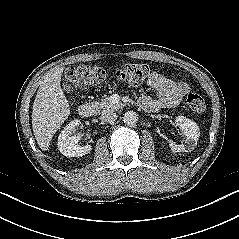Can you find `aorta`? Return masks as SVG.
<instances>
[{
  "label": "aorta",
  "mask_w": 239,
  "mask_h": 239,
  "mask_svg": "<svg viewBox=\"0 0 239 239\" xmlns=\"http://www.w3.org/2000/svg\"><path fill=\"white\" fill-rule=\"evenodd\" d=\"M123 121L128 126L135 125L138 121V115L134 111H127L124 114Z\"/></svg>",
  "instance_id": "aorta-1"
}]
</instances>
